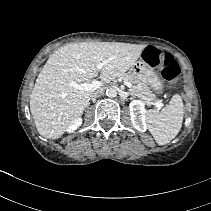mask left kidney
Masks as SVG:
<instances>
[{"instance_id":"1","label":"left kidney","mask_w":211,"mask_h":211,"mask_svg":"<svg viewBox=\"0 0 211 211\" xmlns=\"http://www.w3.org/2000/svg\"><path fill=\"white\" fill-rule=\"evenodd\" d=\"M131 122L135 129L144 132L147 129L146 114L144 103L140 100H133L129 105Z\"/></svg>"}]
</instances>
